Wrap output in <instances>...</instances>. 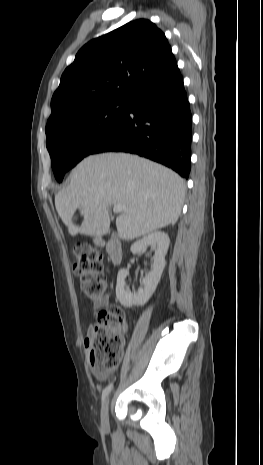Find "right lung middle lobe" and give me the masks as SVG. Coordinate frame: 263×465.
Listing matches in <instances>:
<instances>
[{
  "label": "right lung middle lobe",
  "instance_id": "dd1d6c3e",
  "mask_svg": "<svg viewBox=\"0 0 263 465\" xmlns=\"http://www.w3.org/2000/svg\"><path fill=\"white\" fill-rule=\"evenodd\" d=\"M129 99H107L70 110L46 126L47 149L58 182L92 154L127 112Z\"/></svg>",
  "mask_w": 263,
  "mask_h": 465
}]
</instances>
